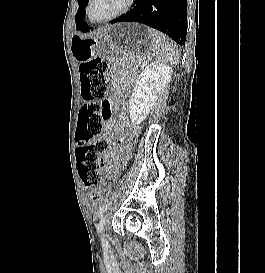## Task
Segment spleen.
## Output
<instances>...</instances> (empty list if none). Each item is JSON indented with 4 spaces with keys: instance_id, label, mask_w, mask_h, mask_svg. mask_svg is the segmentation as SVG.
Masks as SVG:
<instances>
[{
    "instance_id": "3e777b00",
    "label": "spleen",
    "mask_w": 265,
    "mask_h": 273,
    "mask_svg": "<svg viewBox=\"0 0 265 273\" xmlns=\"http://www.w3.org/2000/svg\"><path fill=\"white\" fill-rule=\"evenodd\" d=\"M148 32L152 39L155 59L164 64H177L179 54L175 44L155 29L148 28Z\"/></svg>"
}]
</instances>
